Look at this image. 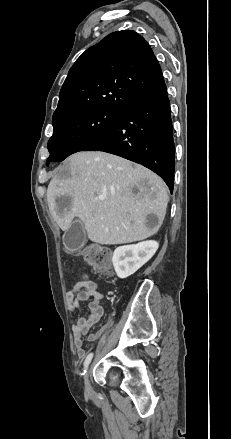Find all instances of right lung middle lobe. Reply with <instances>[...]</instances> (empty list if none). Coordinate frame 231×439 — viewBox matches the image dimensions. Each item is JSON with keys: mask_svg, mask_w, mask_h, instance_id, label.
<instances>
[{"mask_svg": "<svg viewBox=\"0 0 231 439\" xmlns=\"http://www.w3.org/2000/svg\"><path fill=\"white\" fill-rule=\"evenodd\" d=\"M121 116L122 112L95 108L53 119L54 131L48 141L50 156L46 165L83 151L117 123Z\"/></svg>", "mask_w": 231, "mask_h": 439, "instance_id": "obj_1", "label": "right lung middle lobe"}]
</instances>
